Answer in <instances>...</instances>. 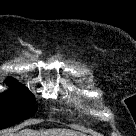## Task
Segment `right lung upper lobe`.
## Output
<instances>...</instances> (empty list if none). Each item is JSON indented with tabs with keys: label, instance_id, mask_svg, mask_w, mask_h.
Instances as JSON below:
<instances>
[{
	"label": "right lung upper lobe",
	"instance_id": "cb5924a9",
	"mask_svg": "<svg viewBox=\"0 0 136 136\" xmlns=\"http://www.w3.org/2000/svg\"><path fill=\"white\" fill-rule=\"evenodd\" d=\"M12 82H15V80L12 79V78H9V79L7 80V83H12Z\"/></svg>",
	"mask_w": 136,
	"mask_h": 136
}]
</instances>
